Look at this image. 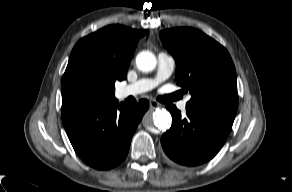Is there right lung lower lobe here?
Returning <instances> with one entry per match:
<instances>
[{"instance_id": "obj_1", "label": "right lung lower lobe", "mask_w": 292, "mask_h": 192, "mask_svg": "<svg viewBox=\"0 0 292 192\" xmlns=\"http://www.w3.org/2000/svg\"><path fill=\"white\" fill-rule=\"evenodd\" d=\"M149 107L114 101L107 105H62V120L78 156L89 166L107 170L127 156L132 136Z\"/></svg>"}]
</instances>
